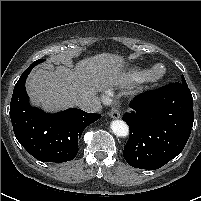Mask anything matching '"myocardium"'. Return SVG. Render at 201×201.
<instances>
[{
  "label": "myocardium",
  "instance_id": "1",
  "mask_svg": "<svg viewBox=\"0 0 201 201\" xmlns=\"http://www.w3.org/2000/svg\"><path fill=\"white\" fill-rule=\"evenodd\" d=\"M158 69H160L159 72H157ZM166 73L167 70L163 64H156L149 71H147L144 78L142 79V83L151 85L158 84L164 79Z\"/></svg>",
  "mask_w": 201,
  "mask_h": 201
}]
</instances>
